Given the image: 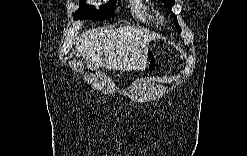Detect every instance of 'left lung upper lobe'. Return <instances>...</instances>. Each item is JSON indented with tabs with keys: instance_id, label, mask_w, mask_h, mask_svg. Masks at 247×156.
<instances>
[{
	"instance_id": "left-lung-upper-lobe-1",
	"label": "left lung upper lobe",
	"mask_w": 247,
	"mask_h": 156,
	"mask_svg": "<svg viewBox=\"0 0 247 156\" xmlns=\"http://www.w3.org/2000/svg\"><path fill=\"white\" fill-rule=\"evenodd\" d=\"M162 2L167 6L169 7L170 9L174 6L175 4V0H162ZM174 17L176 18V15H174ZM176 27H177V30L178 32L180 33L181 32V28L176 20ZM187 50H188V47H187Z\"/></svg>"
}]
</instances>
